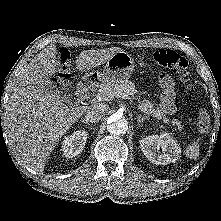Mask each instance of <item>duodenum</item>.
Wrapping results in <instances>:
<instances>
[{"label":"duodenum","mask_w":221,"mask_h":221,"mask_svg":"<svg viewBox=\"0 0 221 221\" xmlns=\"http://www.w3.org/2000/svg\"><path fill=\"white\" fill-rule=\"evenodd\" d=\"M88 89H89V82L83 81L82 83L79 84L77 88V95L83 96L84 94L87 93Z\"/></svg>","instance_id":"1"}]
</instances>
